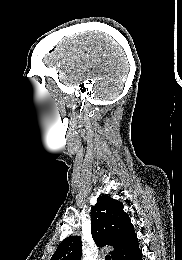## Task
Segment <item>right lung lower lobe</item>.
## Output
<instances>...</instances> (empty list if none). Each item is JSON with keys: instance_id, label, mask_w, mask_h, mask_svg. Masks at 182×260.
<instances>
[{"instance_id": "right-lung-lower-lobe-1", "label": "right lung lower lobe", "mask_w": 182, "mask_h": 260, "mask_svg": "<svg viewBox=\"0 0 182 260\" xmlns=\"http://www.w3.org/2000/svg\"><path fill=\"white\" fill-rule=\"evenodd\" d=\"M114 260H142V252L139 249L138 240L120 252Z\"/></svg>"}]
</instances>
